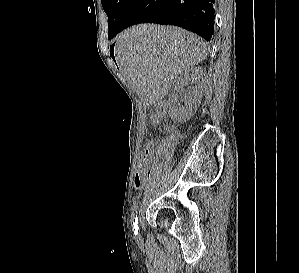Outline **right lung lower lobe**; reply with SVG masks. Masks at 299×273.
I'll use <instances>...</instances> for the list:
<instances>
[{
	"mask_svg": "<svg viewBox=\"0 0 299 273\" xmlns=\"http://www.w3.org/2000/svg\"><path fill=\"white\" fill-rule=\"evenodd\" d=\"M215 0H134L119 32L138 23L176 25L210 41L214 33Z\"/></svg>",
	"mask_w": 299,
	"mask_h": 273,
	"instance_id": "right-lung-lower-lobe-1",
	"label": "right lung lower lobe"
}]
</instances>
